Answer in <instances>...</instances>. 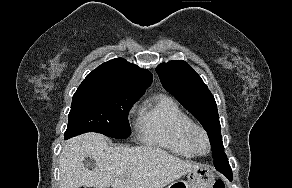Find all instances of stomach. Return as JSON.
<instances>
[{"instance_id":"stomach-1","label":"stomach","mask_w":292,"mask_h":188,"mask_svg":"<svg viewBox=\"0 0 292 188\" xmlns=\"http://www.w3.org/2000/svg\"><path fill=\"white\" fill-rule=\"evenodd\" d=\"M215 175L208 167L200 166L186 175V180L172 182L167 188H213Z\"/></svg>"}]
</instances>
